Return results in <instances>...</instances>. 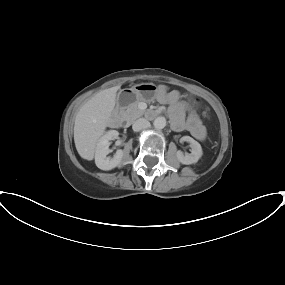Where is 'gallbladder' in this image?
Here are the masks:
<instances>
[{
    "label": "gallbladder",
    "mask_w": 285,
    "mask_h": 285,
    "mask_svg": "<svg viewBox=\"0 0 285 285\" xmlns=\"http://www.w3.org/2000/svg\"><path fill=\"white\" fill-rule=\"evenodd\" d=\"M124 94H125V92H121V93H120V95H119V96H120V99L122 98V96H123Z\"/></svg>",
    "instance_id": "obj_1"
}]
</instances>
